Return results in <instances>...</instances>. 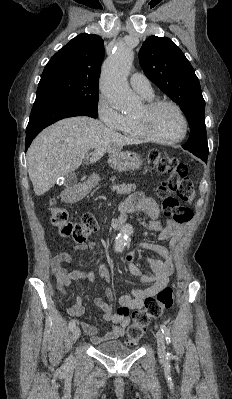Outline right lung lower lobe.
Here are the masks:
<instances>
[{"mask_svg":"<svg viewBox=\"0 0 232 399\" xmlns=\"http://www.w3.org/2000/svg\"><path fill=\"white\" fill-rule=\"evenodd\" d=\"M74 116L97 118L98 113H94L79 104L65 101L55 96L36 95L30 120L26 128L25 148L27 149L37 134L47 126L58 120Z\"/></svg>","mask_w":232,"mask_h":399,"instance_id":"obj_1","label":"right lung lower lobe"}]
</instances>
